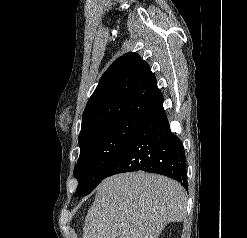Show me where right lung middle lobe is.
<instances>
[{
	"label": "right lung middle lobe",
	"mask_w": 247,
	"mask_h": 238,
	"mask_svg": "<svg viewBox=\"0 0 247 238\" xmlns=\"http://www.w3.org/2000/svg\"><path fill=\"white\" fill-rule=\"evenodd\" d=\"M145 121L117 119L79 138L80 156L74 168L78 187L74 196H85L94 190Z\"/></svg>",
	"instance_id": "right-lung-middle-lobe-1"
}]
</instances>
